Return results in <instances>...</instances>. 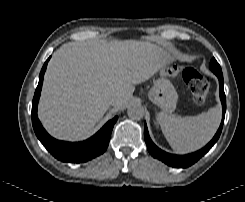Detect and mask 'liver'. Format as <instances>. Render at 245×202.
Masks as SVG:
<instances>
[{
	"label": "liver",
	"instance_id": "obj_1",
	"mask_svg": "<svg viewBox=\"0 0 245 202\" xmlns=\"http://www.w3.org/2000/svg\"><path fill=\"white\" fill-rule=\"evenodd\" d=\"M156 44L137 41L73 42L53 55L44 78L38 116L53 137L85 139L109 109L126 103L134 85L150 79L168 63Z\"/></svg>",
	"mask_w": 245,
	"mask_h": 202
}]
</instances>
